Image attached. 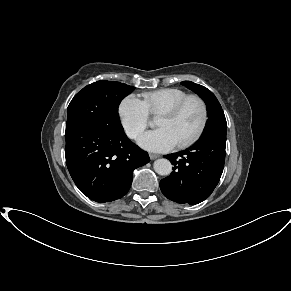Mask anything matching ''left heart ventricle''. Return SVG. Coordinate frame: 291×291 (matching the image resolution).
Returning <instances> with one entry per match:
<instances>
[{
	"label": "left heart ventricle",
	"instance_id": "1",
	"mask_svg": "<svg viewBox=\"0 0 291 291\" xmlns=\"http://www.w3.org/2000/svg\"><path fill=\"white\" fill-rule=\"evenodd\" d=\"M202 106L197 100H190L174 118L159 117L158 128H164L175 140L176 144L191 138L199 129L202 121Z\"/></svg>",
	"mask_w": 291,
	"mask_h": 291
}]
</instances>
